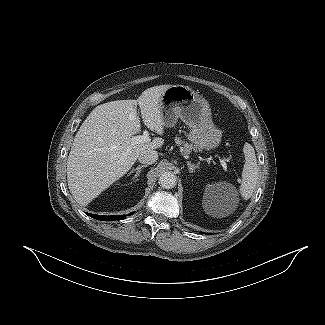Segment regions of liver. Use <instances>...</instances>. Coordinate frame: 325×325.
<instances>
[{
  "mask_svg": "<svg viewBox=\"0 0 325 325\" xmlns=\"http://www.w3.org/2000/svg\"><path fill=\"white\" fill-rule=\"evenodd\" d=\"M170 86H154L137 100L111 101L92 110L76 133L67 160L68 187L76 202L88 205L126 174L142 151L163 145L159 137L147 143H133L131 138L141 128L137 104L147 128L163 134L159 102Z\"/></svg>",
  "mask_w": 325,
  "mask_h": 325,
  "instance_id": "1",
  "label": "liver"
}]
</instances>
